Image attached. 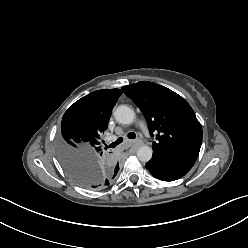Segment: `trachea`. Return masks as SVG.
<instances>
[{"mask_svg": "<svg viewBox=\"0 0 248 248\" xmlns=\"http://www.w3.org/2000/svg\"><path fill=\"white\" fill-rule=\"evenodd\" d=\"M128 138L134 139V138H136V134L134 132H130V133H128ZM122 142H123V138L119 137L115 142L111 143L108 147L115 148L116 146H118Z\"/></svg>", "mask_w": 248, "mask_h": 248, "instance_id": "trachea-1", "label": "trachea"}]
</instances>
